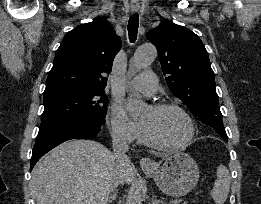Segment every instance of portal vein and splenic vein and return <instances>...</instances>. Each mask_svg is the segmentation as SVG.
Wrapping results in <instances>:
<instances>
[{"mask_svg": "<svg viewBox=\"0 0 261 204\" xmlns=\"http://www.w3.org/2000/svg\"><path fill=\"white\" fill-rule=\"evenodd\" d=\"M177 203H180V204H187V201L182 200V199H179Z\"/></svg>", "mask_w": 261, "mask_h": 204, "instance_id": "1", "label": "portal vein and splenic vein"}]
</instances>
